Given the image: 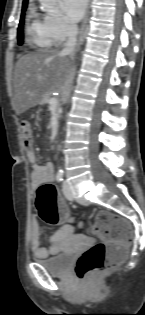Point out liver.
Instances as JSON below:
<instances>
[{"label": "liver", "instance_id": "6515ba94", "mask_svg": "<svg viewBox=\"0 0 145 315\" xmlns=\"http://www.w3.org/2000/svg\"><path fill=\"white\" fill-rule=\"evenodd\" d=\"M69 60L56 50L22 55L15 66L12 107L17 115L39 104L44 95L61 91L66 83Z\"/></svg>", "mask_w": 145, "mask_h": 315}]
</instances>
